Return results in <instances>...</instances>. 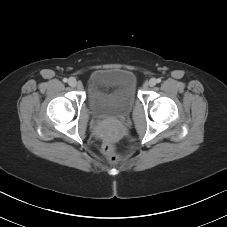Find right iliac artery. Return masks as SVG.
Masks as SVG:
<instances>
[{
  "label": "right iliac artery",
  "instance_id": "obj_1",
  "mask_svg": "<svg viewBox=\"0 0 227 227\" xmlns=\"http://www.w3.org/2000/svg\"><path fill=\"white\" fill-rule=\"evenodd\" d=\"M67 81H68V79H67V78H64V79H63V82H64V83H66Z\"/></svg>",
  "mask_w": 227,
  "mask_h": 227
}]
</instances>
